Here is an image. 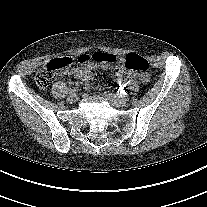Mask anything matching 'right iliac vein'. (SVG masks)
<instances>
[{
  "instance_id": "obj_1",
  "label": "right iliac vein",
  "mask_w": 207,
  "mask_h": 207,
  "mask_svg": "<svg viewBox=\"0 0 207 207\" xmlns=\"http://www.w3.org/2000/svg\"><path fill=\"white\" fill-rule=\"evenodd\" d=\"M76 96L75 95H69L68 98H67V101L69 103H74L76 101Z\"/></svg>"
}]
</instances>
